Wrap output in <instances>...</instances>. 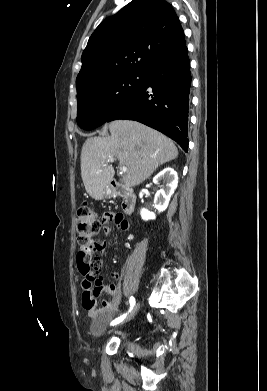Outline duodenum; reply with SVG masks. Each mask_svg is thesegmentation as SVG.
<instances>
[{
    "label": "duodenum",
    "mask_w": 267,
    "mask_h": 391,
    "mask_svg": "<svg viewBox=\"0 0 267 391\" xmlns=\"http://www.w3.org/2000/svg\"><path fill=\"white\" fill-rule=\"evenodd\" d=\"M109 189L111 194L122 198V210L126 215L134 212L136 207V195L128 186L115 179L110 180Z\"/></svg>",
    "instance_id": "duodenum-1"
}]
</instances>
